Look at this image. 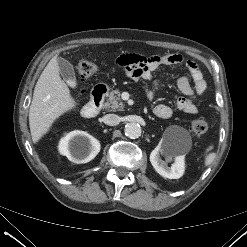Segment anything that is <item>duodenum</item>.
<instances>
[{"instance_id":"410a0bca","label":"duodenum","mask_w":247,"mask_h":247,"mask_svg":"<svg viewBox=\"0 0 247 247\" xmlns=\"http://www.w3.org/2000/svg\"><path fill=\"white\" fill-rule=\"evenodd\" d=\"M107 87L105 85H97L93 88L90 101L83 107L82 116L85 118H93L100 111Z\"/></svg>"}]
</instances>
